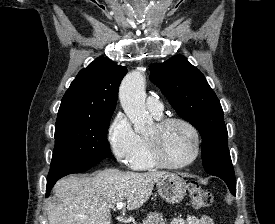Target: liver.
Returning <instances> with one entry per match:
<instances>
[{"mask_svg": "<svg viewBox=\"0 0 275 224\" xmlns=\"http://www.w3.org/2000/svg\"><path fill=\"white\" fill-rule=\"evenodd\" d=\"M166 174L107 169L93 177L60 179L54 186V197L47 201L49 224H111V210L119 202L126 199L128 210L141 207L154 184Z\"/></svg>", "mask_w": 275, "mask_h": 224, "instance_id": "liver-1", "label": "liver"}]
</instances>
